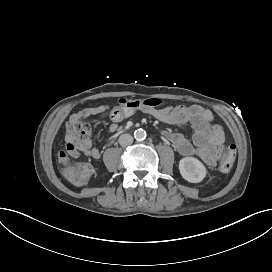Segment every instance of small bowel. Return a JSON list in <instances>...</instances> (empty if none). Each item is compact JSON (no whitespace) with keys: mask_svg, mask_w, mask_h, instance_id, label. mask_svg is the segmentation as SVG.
Returning a JSON list of instances; mask_svg holds the SVG:
<instances>
[{"mask_svg":"<svg viewBox=\"0 0 272 272\" xmlns=\"http://www.w3.org/2000/svg\"><path fill=\"white\" fill-rule=\"evenodd\" d=\"M90 108L93 111L94 116H103L111 110L109 104H102ZM140 111H143L166 124L190 127L192 129L191 140L181 133L171 131H164L163 137L174 146L176 152L181 156H198L207 166L214 167L216 165V158L212 149L224 142L225 133L224 128L220 124L213 123V114L211 110L193 104L164 106L159 108L153 107ZM80 152L93 160H98L101 157V152L94 146H92L90 151Z\"/></svg>","mask_w":272,"mask_h":272,"instance_id":"small-bowel-1","label":"small bowel"}]
</instances>
